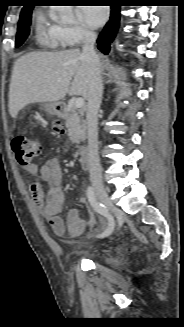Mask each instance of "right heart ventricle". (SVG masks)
Instances as JSON below:
<instances>
[{
  "label": "right heart ventricle",
  "instance_id": "1",
  "mask_svg": "<svg viewBox=\"0 0 184 327\" xmlns=\"http://www.w3.org/2000/svg\"><path fill=\"white\" fill-rule=\"evenodd\" d=\"M62 26L43 12H39L35 18L36 40L42 46L58 48L62 46Z\"/></svg>",
  "mask_w": 184,
  "mask_h": 327
}]
</instances>
